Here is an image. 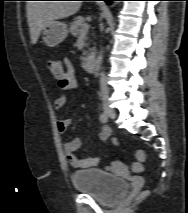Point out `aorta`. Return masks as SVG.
Wrapping results in <instances>:
<instances>
[{
  "instance_id": "1",
  "label": "aorta",
  "mask_w": 188,
  "mask_h": 213,
  "mask_svg": "<svg viewBox=\"0 0 188 213\" xmlns=\"http://www.w3.org/2000/svg\"><path fill=\"white\" fill-rule=\"evenodd\" d=\"M102 59H103V51H101L99 53L98 57L95 60V72H94V74H95L96 77H98V75H99Z\"/></svg>"
}]
</instances>
